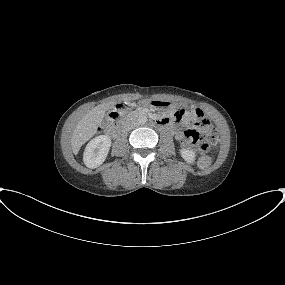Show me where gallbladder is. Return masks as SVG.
<instances>
[{"label":"gallbladder","mask_w":285,"mask_h":285,"mask_svg":"<svg viewBox=\"0 0 285 285\" xmlns=\"http://www.w3.org/2000/svg\"><path fill=\"white\" fill-rule=\"evenodd\" d=\"M103 121H104V122H109V121H110V118H109L107 115H105L104 118H103Z\"/></svg>","instance_id":"obj_1"}]
</instances>
